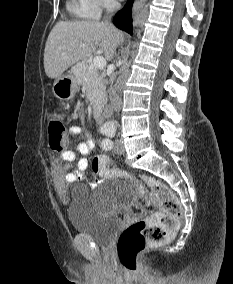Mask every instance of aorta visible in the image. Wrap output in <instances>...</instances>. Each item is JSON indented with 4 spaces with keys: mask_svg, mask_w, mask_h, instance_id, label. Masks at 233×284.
<instances>
[{
    "mask_svg": "<svg viewBox=\"0 0 233 284\" xmlns=\"http://www.w3.org/2000/svg\"><path fill=\"white\" fill-rule=\"evenodd\" d=\"M125 68H126V64H124V65L120 68L119 74H120L121 72H123V71L125 70ZM107 125L110 126V127H115V123H114L113 121L108 122Z\"/></svg>",
    "mask_w": 233,
    "mask_h": 284,
    "instance_id": "aorta-1",
    "label": "aorta"
}]
</instances>
